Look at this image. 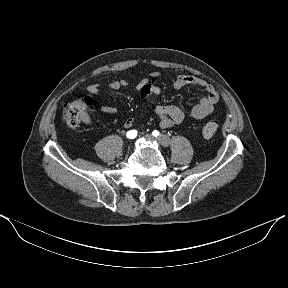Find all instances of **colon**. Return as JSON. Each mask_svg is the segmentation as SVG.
Listing matches in <instances>:
<instances>
[{
    "mask_svg": "<svg viewBox=\"0 0 288 288\" xmlns=\"http://www.w3.org/2000/svg\"><path fill=\"white\" fill-rule=\"evenodd\" d=\"M93 100L90 97L81 98L67 103L64 106L62 120L70 128H75L83 122L89 120V109L92 106ZM218 129L217 121L211 120L207 122L202 134L206 138L212 137Z\"/></svg>",
    "mask_w": 288,
    "mask_h": 288,
    "instance_id": "obj_1",
    "label": "colon"
}]
</instances>
